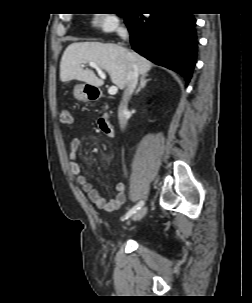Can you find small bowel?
I'll use <instances>...</instances> for the list:
<instances>
[{"instance_id":"obj_1","label":"small bowel","mask_w":252,"mask_h":303,"mask_svg":"<svg viewBox=\"0 0 252 303\" xmlns=\"http://www.w3.org/2000/svg\"><path fill=\"white\" fill-rule=\"evenodd\" d=\"M82 139V137H75L70 142L68 157L69 171L72 176L75 177L77 183L87 193L89 200L94 206L106 212L115 211L119 209L125 202L124 185L122 183H116L114 187V197L110 201H106L100 192L87 181L85 176L81 174L80 166L76 160Z\"/></svg>"}]
</instances>
